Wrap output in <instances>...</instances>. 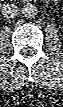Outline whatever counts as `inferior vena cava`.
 Segmentation results:
<instances>
[{
    "label": "inferior vena cava",
    "instance_id": "obj_1",
    "mask_svg": "<svg viewBox=\"0 0 63 107\" xmlns=\"http://www.w3.org/2000/svg\"><path fill=\"white\" fill-rule=\"evenodd\" d=\"M4 18L12 19L15 18L18 12V7L14 4H4L1 9Z\"/></svg>",
    "mask_w": 63,
    "mask_h": 107
}]
</instances>
